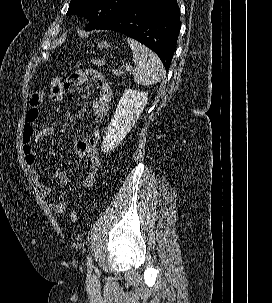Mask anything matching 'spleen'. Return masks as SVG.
Returning <instances> with one entry per match:
<instances>
[{
    "mask_svg": "<svg viewBox=\"0 0 272 303\" xmlns=\"http://www.w3.org/2000/svg\"><path fill=\"white\" fill-rule=\"evenodd\" d=\"M127 43L133 51V61L136 64L134 81L142 85H153L161 81L166 72L158 56L134 39L127 38Z\"/></svg>",
    "mask_w": 272,
    "mask_h": 303,
    "instance_id": "1",
    "label": "spleen"
}]
</instances>
